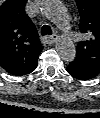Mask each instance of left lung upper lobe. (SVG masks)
I'll list each match as a JSON object with an SVG mask.
<instances>
[{
  "label": "left lung upper lobe",
  "instance_id": "obj_1",
  "mask_svg": "<svg viewBox=\"0 0 100 118\" xmlns=\"http://www.w3.org/2000/svg\"><path fill=\"white\" fill-rule=\"evenodd\" d=\"M79 29L89 37L79 42L76 61L100 71V0H76Z\"/></svg>",
  "mask_w": 100,
  "mask_h": 118
}]
</instances>
